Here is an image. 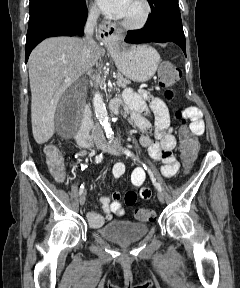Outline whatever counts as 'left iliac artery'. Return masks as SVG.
<instances>
[{"mask_svg": "<svg viewBox=\"0 0 240 288\" xmlns=\"http://www.w3.org/2000/svg\"><path fill=\"white\" fill-rule=\"evenodd\" d=\"M122 152L129 157L137 159V157L128 148L122 147ZM142 165H143L144 169L147 170V172L150 175V178L152 180V183L157 188V190L162 191L161 185L156 181V179L153 175V172L144 163H142Z\"/></svg>", "mask_w": 240, "mask_h": 288, "instance_id": "left-iliac-artery-1", "label": "left iliac artery"}]
</instances>
